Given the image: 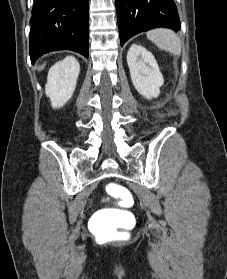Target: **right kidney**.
I'll return each mask as SVG.
<instances>
[{
	"mask_svg": "<svg viewBox=\"0 0 227 279\" xmlns=\"http://www.w3.org/2000/svg\"><path fill=\"white\" fill-rule=\"evenodd\" d=\"M79 72L80 65L73 56H67L50 68L45 92L53 108H60L70 100L76 88Z\"/></svg>",
	"mask_w": 227,
	"mask_h": 279,
	"instance_id": "obj_1",
	"label": "right kidney"
}]
</instances>
